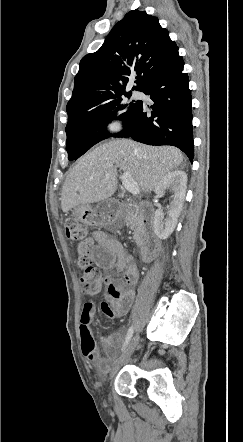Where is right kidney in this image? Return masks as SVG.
Here are the masks:
<instances>
[{"label": "right kidney", "instance_id": "right-kidney-1", "mask_svg": "<svg viewBox=\"0 0 243 442\" xmlns=\"http://www.w3.org/2000/svg\"><path fill=\"white\" fill-rule=\"evenodd\" d=\"M186 188L187 175L181 170L169 172L155 187V193L158 195L164 194L167 189H171L174 193L166 219H164L163 210L157 209L155 211L154 232L158 238L165 240L173 233L182 211Z\"/></svg>", "mask_w": 243, "mask_h": 442}]
</instances>
